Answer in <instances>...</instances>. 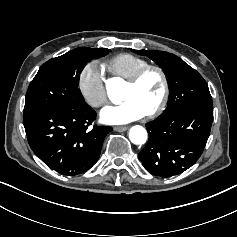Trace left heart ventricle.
Segmentation results:
<instances>
[{"mask_svg":"<svg viewBox=\"0 0 237 237\" xmlns=\"http://www.w3.org/2000/svg\"><path fill=\"white\" fill-rule=\"evenodd\" d=\"M163 92L160 74L151 70L136 85L123 86L121 97L134 102L146 114L159 104Z\"/></svg>","mask_w":237,"mask_h":237,"instance_id":"b2bd125f","label":"left heart ventricle"}]
</instances>
